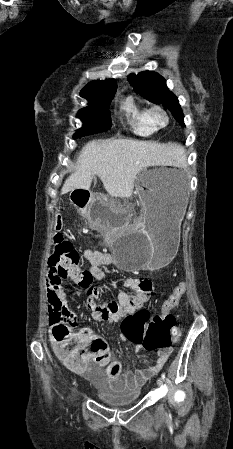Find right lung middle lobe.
Instances as JSON below:
<instances>
[{
    "label": "right lung middle lobe",
    "mask_w": 233,
    "mask_h": 449,
    "mask_svg": "<svg viewBox=\"0 0 233 449\" xmlns=\"http://www.w3.org/2000/svg\"><path fill=\"white\" fill-rule=\"evenodd\" d=\"M114 95L88 99L89 105L79 110L77 115L83 122V127L75 132L74 138L103 132L110 128L109 106Z\"/></svg>",
    "instance_id": "dd1d6c3e"
}]
</instances>
